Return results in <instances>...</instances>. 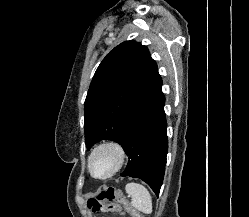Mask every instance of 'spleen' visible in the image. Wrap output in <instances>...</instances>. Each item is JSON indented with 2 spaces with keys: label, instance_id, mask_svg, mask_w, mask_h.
Here are the masks:
<instances>
[{
  "label": "spleen",
  "instance_id": "3e777b00",
  "mask_svg": "<svg viewBox=\"0 0 249 217\" xmlns=\"http://www.w3.org/2000/svg\"><path fill=\"white\" fill-rule=\"evenodd\" d=\"M125 190L131 196L133 207L145 214L152 213V197L145 186L131 182L126 185Z\"/></svg>",
  "mask_w": 249,
  "mask_h": 217
}]
</instances>
